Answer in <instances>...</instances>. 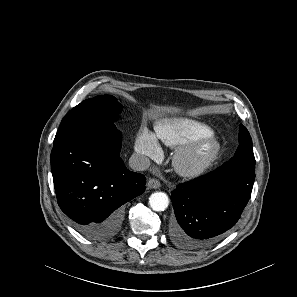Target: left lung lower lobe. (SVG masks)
Returning a JSON list of instances; mask_svg holds the SVG:
<instances>
[{
	"label": "left lung lower lobe",
	"mask_w": 297,
	"mask_h": 297,
	"mask_svg": "<svg viewBox=\"0 0 297 297\" xmlns=\"http://www.w3.org/2000/svg\"><path fill=\"white\" fill-rule=\"evenodd\" d=\"M255 158L234 156L216 170L172 191L177 222L171 237L177 245L197 249L225 236L247 205L255 178Z\"/></svg>",
	"instance_id": "0a47b994"
}]
</instances>
